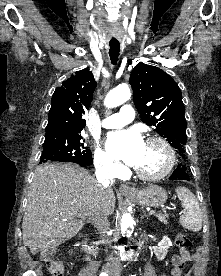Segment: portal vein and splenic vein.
I'll return each mask as SVG.
<instances>
[{
	"label": "portal vein and splenic vein",
	"mask_w": 221,
	"mask_h": 276,
	"mask_svg": "<svg viewBox=\"0 0 221 276\" xmlns=\"http://www.w3.org/2000/svg\"><path fill=\"white\" fill-rule=\"evenodd\" d=\"M156 214V211H151L150 215Z\"/></svg>",
	"instance_id": "1"
}]
</instances>
